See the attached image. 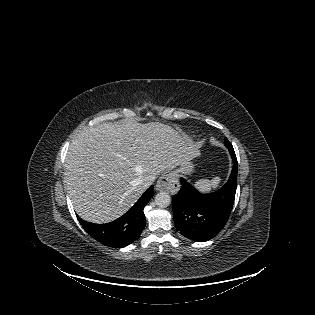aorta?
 Segmentation results:
<instances>
[{
    "instance_id": "762f6f07",
    "label": "aorta",
    "mask_w": 315,
    "mask_h": 315,
    "mask_svg": "<svg viewBox=\"0 0 315 315\" xmlns=\"http://www.w3.org/2000/svg\"><path fill=\"white\" fill-rule=\"evenodd\" d=\"M155 203L158 207H161V208L168 207L171 203V197L166 192H159L155 196Z\"/></svg>"
}]
</instances>
